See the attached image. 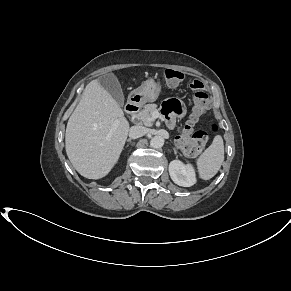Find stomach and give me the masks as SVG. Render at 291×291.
<instances>
[{"mask_svg":"<svg viewBox=\"0 0 291 291\" xmlns=\"http://www.w3.org/2000/svg\"><path fill=\"white\" fill-rule=\"evenodd\" d=\"M161 92V84L150 78L146 80L140 87L134 89L130 95L129 100L134 104H144L146 102L155 101Z\"/></svg>","mask_w":291,"mask_h":291,"instance_id":"stomach-1","label":"stomach"}]
</instances>
